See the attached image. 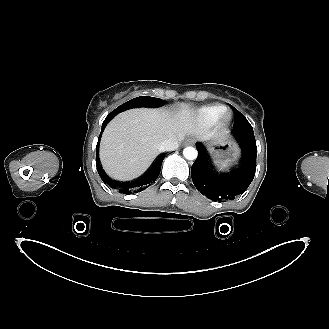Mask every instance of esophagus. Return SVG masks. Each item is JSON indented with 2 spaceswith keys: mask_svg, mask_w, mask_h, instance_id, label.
Returning <instances> with one entry per match:
<instances>
[{
  "mask_svg": "<svg viewBox=\"0 0 329 329\" xmlns=\"http://www.w3.org/2000/svg\"><path fill=\"white\" fill-rule=\"evenodd\" d=\"M186 144H191V145H193L194 144V141L193 140H187V142H186Z\"/></svg>",
  "mask_w": 329,
  "mask_h": 329,
  "instance_id": "esophagus-1",
  "label": "esophagus"
}]
</instances>
